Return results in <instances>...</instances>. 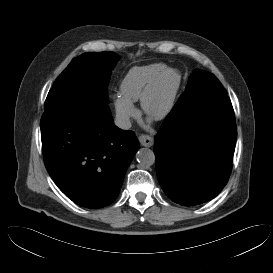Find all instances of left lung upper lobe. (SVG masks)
<instances>
[{"mask_svg": "<svg viewBox=\"0 0 273 273\" xmlns=\"http://www.w3.org/2000/svg\"><path fill=\"white\" fill-rule=\"evenodd\" d=\"M212 81L219 82L214 74L200 69L194 70L189 77L188 84L184 93L181 95L176 105H181L188 101L197 95L200 91H203L207 85L211 84Z\"/></svg>", "mask_w": 273, "mask_h": 273, "instance_id": "5c2ea615", "label": "left lung upper lobe"}]
</instances>
